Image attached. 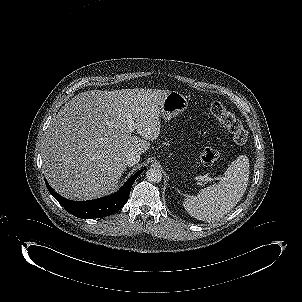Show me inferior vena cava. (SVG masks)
<instances>
[{"label":"inferior vena cava","mask_w":302,"mask_h":302,"mask_svg":"<svg viewBox=\"0 0 302 302\" xmlns=\"http://www.w3.org/2000/svg\"><path fill=\"white\" fill-rule=\"evenodd\" d=\"M125 164L129 167L134 166L140 161V154L137 152H130L125 157Z\"/></svg>","instance_id":"1"}]
</instances>
